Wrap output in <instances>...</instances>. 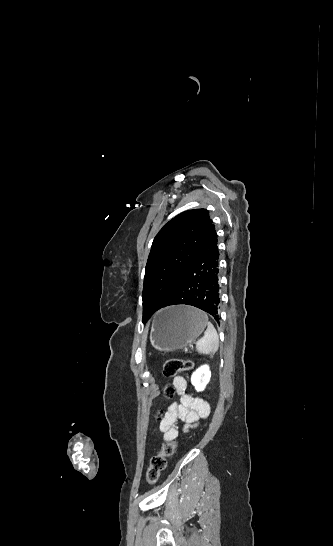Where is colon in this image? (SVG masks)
Segmentation results:
<instances>
[{
  "instance_id": "colon-1",
  "label": "colon",
  "mask_w": 333,
  "mask_h": 546,
  "mask_svg": "<svg viewBox=\"0 0 333 546\" xmlns=\"http://www.w3.org/2000/svg\"><path fill=\"white\" fill-rule=\"evenodd\" d=\"M193 364L189 360L168 359L162 365V374L166 378L175 377L178 374L188 371ZM174 388L171 386L165 387L166 397H172ZM177 448V443L174 441H166L163 443L160 451L151 458L150 465L146 473L148 483L154 484L158 481L162 471L166 467L167 458L171 457Z\"/></svg>"
}]
</instances>
